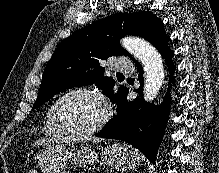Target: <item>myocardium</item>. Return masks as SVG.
<instances>
[{
    "label": "myocardium",
    "mask_w": 219,
    "mask_h": 173,
    "mask_svg": "<svg viewBox=\"0 0 219 173\" xmlns=\"http://www.w3.org/2000/svg\"><path fill=\"white\" fill-rule=\"evenodd\" d=\"M77 93H85L95 96L104 106V114L102 118L92 127L85 129V130H71L67 128L61 121L60 118V106L62 102L69 96ZM113 116V109L108 102L106 96L103 94V92L93 86H78L71 88L64 92L55 102L53 105V120L57 128L64 134L70 137H86L93 135L100 130H102L111 120Z\"/></svg>",
    "instance_id": "myocardium-1"
}]
</instances>
